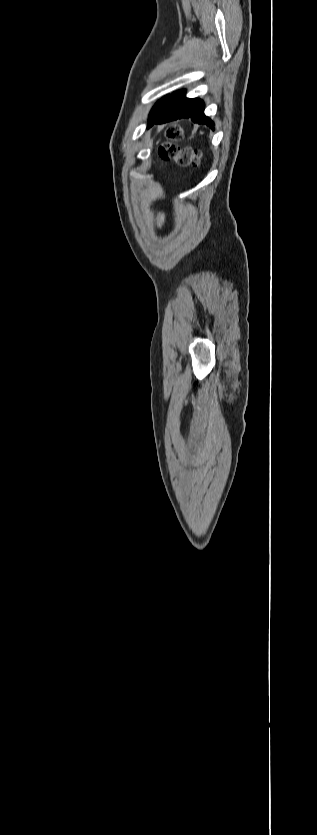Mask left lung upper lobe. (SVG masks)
<instances>
[{"instance_id":"5c2ea615","label":"left lung upper lobe","mask_w":317,"mask_h":835,"mask_svg":"<svg viewBox=\"0 0 317 835\" xmlns=\"http://www.w3.org/2000/svg\"><path fill=\"white\" fill-rule=\"evenodd\" d=\"M168 98H169V95H167V96L163 97L162 99H160V100H159V101L155 104V106L152 108V110H151V112H150V117H149V118H152L155 114H157V113L159 112V110L163 107V105L166 103V101L168 100Z\"/></svg>"}]
</instances>
